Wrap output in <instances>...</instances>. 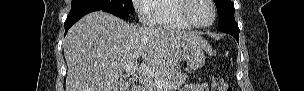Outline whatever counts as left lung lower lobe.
<instances>
[{
    "label": "left lung lower lobe",
    "instance_id": "left-lung-lower-lobe-1",
    "mask_svg": "<svg viewBox=\"0 0 304 91\" xmlns=\"http://www.w3.org/2000/svg\"><path fill=\"white\" fill-rule=\"evenodd\" d=\"M231 34L237 41H239V32H226Z\"/></svg>",
    "mask_w": 304,
    "mask_h": 91
}]
</instances>
